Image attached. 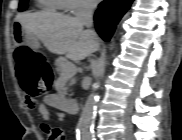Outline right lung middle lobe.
<instances>
[{"mask_svg": "<svg viewBox=\"0 0 182 140\" xmlns=\"http://www.w3.org/2000/svg\"><path fill=\"white\" fill-rule=\"evenodd\" d=\"M28 0H22L19 4V11H24L27 8Z\"/></svg>", "mask_w": 182, "mask_h": 140, "instance_id": "obj_1", "label": "right lung middle lobe"}]
</instances>
